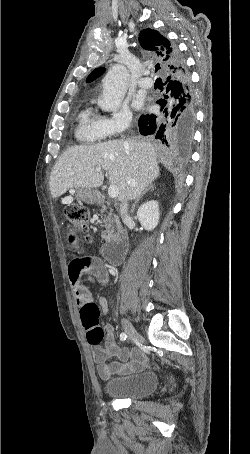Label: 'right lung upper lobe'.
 <instances>
[{
  "label": "right lung upper lobe",
  "instance_id": "obj_1",
  "mask_svg": "<svg viewBox=\"0 0 250 454\" xmlns=\"http://www.w3.org/2000/svg\"><path fill=\"white\" fill-rule=\"evenodd\" d=\"M139 43L143 49L154 59L159 61L156 68L165 76L172 72L174 66L171 64L170 41L158 31L144 29L139 34ZM105 72V68L99 67L93 70L87 77L86 82H92Z\"/></svg>",
  "mask_w": 250,
  "mask_h": 454
}]
</instances>
